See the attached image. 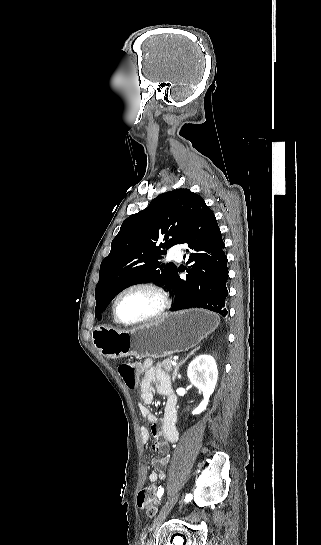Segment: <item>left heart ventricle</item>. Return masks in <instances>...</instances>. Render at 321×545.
Here are the masks:
<instances>
[{
    "label": "left heart ventricle",
    "mask_w": 321,
    "mask_h": 545,
    "mask_svg": "<svg viewBox=\"0 0 321 545\" xmlns=\"http://www.w3.org/2000/svg\"><path fill=\"white\" fill-rule=\"evenodd\" d=\"M160 305L161 301L155 293L139 289L125 293L117 309L123 321L133 323L153 315Z\"/></svg>",
    "instance_id": "b2bd125f"
}]
</instances>
